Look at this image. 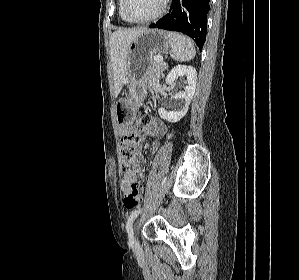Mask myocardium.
<instances>
[{
	"label": "myocardium",
	"instance_id": "myocardium-1",
	"mask_svg": "<svg viewBox=\"0 0 299 280\" xmlns=\"http://www.w3.org/2000/svg\"><path fill=\"white\" fill-rule=\"evenodd\" d=\"M169 1L170 0H163L160 9L153 16H151L147 19L137 20V19H134L133 17H131V15L129 14V11H128L129 0H123L124 15L127 18V20L131 23H134V24H147V23H150L152 21L157 20L158 18H160L164 14V12L166 11V9L168 7Z\"/></svg>",
	"mask_w": 299,
	"mask_h": 280
}]
</instances>
